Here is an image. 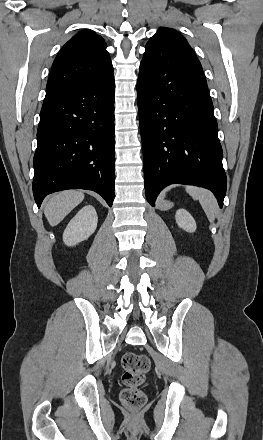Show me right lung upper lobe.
Wrapping results in <instances>:
<instances>
[{"label":"right lung upper lobe","mask_w":263,"mask_h":440,"mask_svg":"<svg viewBox=\"0 0 263 440\" xmlns=\"http://www.w3.org/2000/svg\"><path fill=\"white\" fill-rule=\"evenodd\" d=\"M103 38L91 30L73 36L55 58L46 87V98L113 74Z\"/></svg>","instance_id":"1"}]
</instances>
